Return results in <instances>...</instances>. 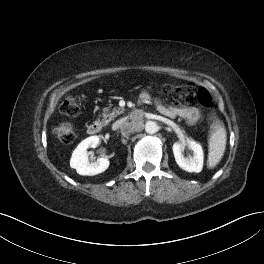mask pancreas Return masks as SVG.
Listing matches in <instances>:
<instances>
[{
  "label": "pancreas",
  "instance_id": "obj_1",
  "mask_svg": "<svg viewBox=\"0 0 264 264\" xmlns=\"http://www.w3.org/2000/svg\"><path fill=\"white\" fill-rule=\"evenodd\" d=\"M122 113H124L123 108H114L112 112H109L108 108H104L103 113H102L103 125H107L111 120H113L114 118H116L118 115Z\"/></svg>",
  "mask_w": 264,
  "mask_h": 264
}]
</instances>
